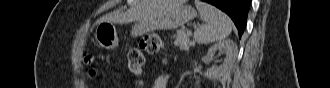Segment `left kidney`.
Returning <instances> with one entry per match:
<instances>
[{
  "label": "left kidney",
  "mask_w": 330,
  "mask_h": 88,
  "mask_svg": "<svg viewBox=\"0 0 330 88\" xmlns=\"http://www.w3.org/2000/svg\"><path fill=\"white\" fill-rule=\"evenodd\" d=\"M224 49L226 58L223 63L218 67H212L205 72V76L209 79H218L229 71L235 63L237 57V45L230 39L219 41L211 46L204 57L205 60L211 59L217 50Z\"/></svg>",
  "instance_id": "obj_1"
}]
</instances>
